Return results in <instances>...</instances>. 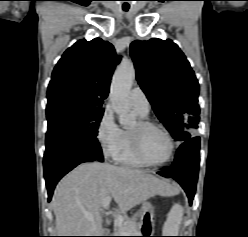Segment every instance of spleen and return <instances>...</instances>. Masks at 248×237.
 <instances>
[{"instance_id": "3e777b00", "label": "spleen", "mask_w": 248, "mask_h": 237, "mask_svg": "<svg viewBox=\"0 0 248 237\" xmlns=\"http://www.w3.org/2000/svg\"><path fill=\"white\" fill-rule=\"evenodd\" d=\"M182 217L183 207L180 204H174L164 223L163 234L166 236H178Z\"/></svg>"}]
</instances>
